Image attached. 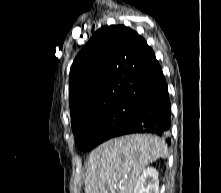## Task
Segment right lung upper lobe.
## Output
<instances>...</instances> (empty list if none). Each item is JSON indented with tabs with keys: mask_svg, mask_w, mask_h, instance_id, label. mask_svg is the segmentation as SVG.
Segmentation results:
<instances>
[{
	"mask_svg": "<svg viewBox=\"0 0 221 193\" xmlns=\"http://www.w3.org/2000/svg\"><path fill=\"white\" fill-rule=\"evenodd\" d=\"M161 72L153 50L138 33L124 25L100 28L70 69L72 129L112 102L143 99Z\"/></svg>",
	"mask_w": 221,
	"mask_h": 193,
	"instance_id": "obj_1",
	"label": "right lung upper lobe"
}]
</instances>
